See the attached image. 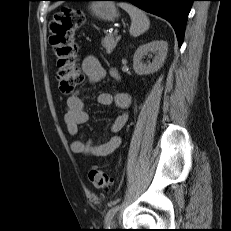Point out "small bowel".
<instances>
[{
  "label": "small bowel",
  "mask_w": 231,
  "mask_h": 231,
  "mask_svg": "<svg viewBox=\"0 0 231 231\" xmlns=\"http://www.w3.org/2000/svg\"><path fill=\"white\" fill-rule=\"evenodd\" d=\"M82 69L90 82H99L106 76V70L101 62L94 56H87L83 59ZM110 74L118 78L119 74L116 69H111ZM98 102L101 105L108 106L114 103L121 109H127L131 103V97L127 93H118L111 95L109 93H101L98 96ZM89 115L86 111L83 99L74 93L67 98L66 111L64 121L67 132L70 136L78 133L79 126L88 121ZM128 120V112L118 115L110 126L113 133L106 141L98 142L94 139L75 140L71 142L70 149L73 153L79 155H88L92 157H105L111 154L121 145V138L116 134L126 124Z\"/></svg>",
  "instance_id": "obj_1"
}]
</instances>
